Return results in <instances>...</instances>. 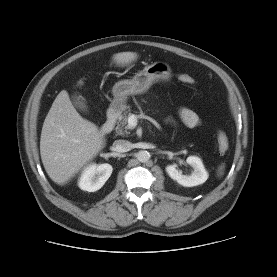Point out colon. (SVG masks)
Returning <instances> with one entry per match:
<instances>
[{"mask_svg": "<svg viewBox=\"0 0 277 277\" xmlns=\"http://www.w3.org/2000/svg\"><path fill=\"white\" fill-rule=\"evenodd\" d=\"M178 79H179V81H181L182 83H185V84H193L194 83V79L190 75L185 74V73L179 74ZM217 145H218V149L221 153H225L229 149L228 136L222 130H219L217 133Z\"/></svg>", "mask_w": 277, "mask_h": 277, "instance_id": "1", "label": "colon"}]
</instances>
